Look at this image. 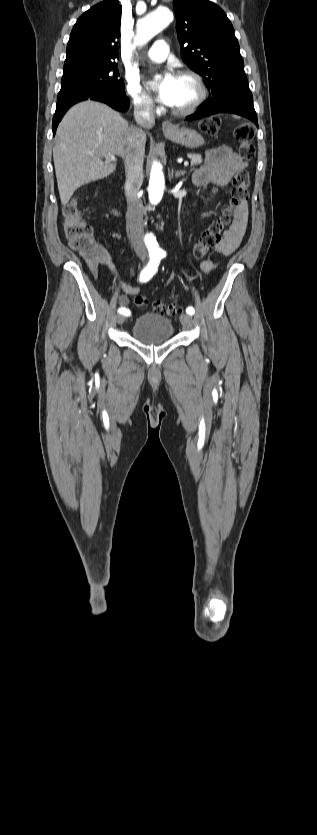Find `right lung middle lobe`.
I'll return each instance as SVG.
<instances>
[{"label":"right lung middle lobe","instance_id":"obj_1","mask_svg":"<svg viewBox=\"0 0 317 835\" xmlns=\"http://www.w3.org/2000/svg\"><path fill=\"white\" fill-rule=\"evenodd\" d=\"M104 89L125 93L124 82L119 78L116 63L88 61L65 63L57 101L77 94Z\"/></svg>","mask_w":317,"mask_h":835}]
</instances>
